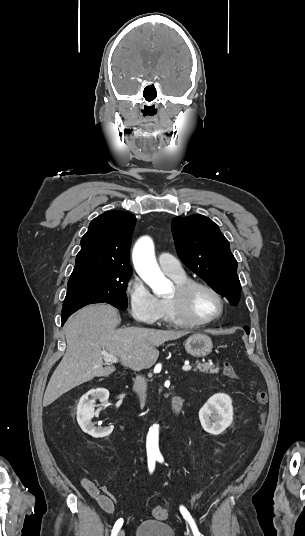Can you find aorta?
Listing matches in <instances>:
<instances>
[{
  "mask_svg": "<svg viewBox=\"0 0 305 536\" xmlns=\"http://www.w3.org/2000/svg\"><path fill=\"white\" fill-rule=\"evenodd\" d=\"M132 259L136 272L150 286L154 294L164 295L171 289V282L157 264L154 243L150 237L144 236L136 242Z\"/></svg>",
  "mask_w": 305,
  "mask_h": 536,
  "instance_id": "aorta-1",
  "label": "aorta"
}]
</instances>
